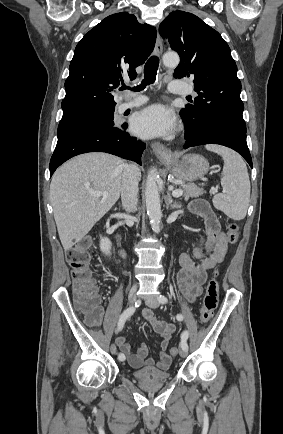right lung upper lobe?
I'll return each instance as SVG.
<instances>
[{"label":"right lung upper lobe","instance_id":"1","mask_svg":"<svg viewBox=\"0 0 283 434\" xmlns=\"http://www.w3.org/2000/svg\"><path fill=\"white\" fill-rule=\"evenodd\" d=\"M156 35L154 27L127 12L106 17L86 33L70 63L62 119L115 109L112 92L123 73L136 78L135 68L153 51Z\"/></svg>","mask_w":283,"mask_h":434}]
</instances>
